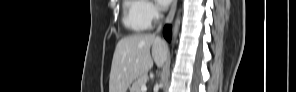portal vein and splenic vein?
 <instances>
[{"label":"portal vein and splenic vein","instance_id":"obj_1","mask_svg":"<svg viewBox=\"0 0 296 92\" xmlns=\"http://www.w3.org/2000/svg\"><path fill=\"white\" fill-rule=\"evenodd\" d=\"M147 91V87L146 85H142L141 86V92H146Z\"/></svg>","mask_w":296,"mask_h":92}]
</instances>
